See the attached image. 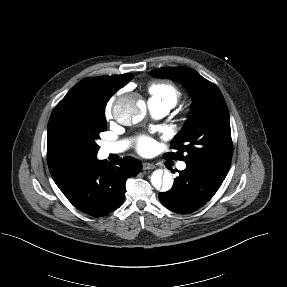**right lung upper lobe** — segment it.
Instances as JSON below:
<instances>
[{
	"instance_id": "cb5924a9",
	"label": "right lung upper lobe",
	"mask_w": 287,
	"mask_h": 287,
	"mask_svg": "<svg viewBox=\"0 0 287 287\" xmlns=\"http://www.w3.org/2000/svg\"><path fill=\"white\" fill-rule=\"evenodd\" d=\"M132 77L131 74H123L83 79L54 108L47 129V161L52 178L59 188L66 186L70 179L89 161L75 159L59 147L58 132L61 114L72 102L90 95H102L110 98Z\"/></svg>"
}]
</instances>
